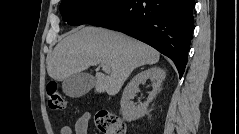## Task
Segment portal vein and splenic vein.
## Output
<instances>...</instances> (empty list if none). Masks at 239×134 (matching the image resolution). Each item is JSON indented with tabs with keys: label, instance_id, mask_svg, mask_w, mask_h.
<instances>
[{
	"label": "portal vein and splenic vein",
	"instance_id": "obj_1",
	"mask_svg": "<svg viewBox=\"0 0 239 134\" xmlns=\"http://www.w3.org/2000/svg\"><path fill=\"white\" fill-rule=\"evenodd\" d=\"M101 65H102V68H103V70H104L105 72H110V68H109L108 65H106V64H104V63H101Z\"/></svg>",
	"mask_w": 239,
	"mask_h": 134
}]
</instances>
